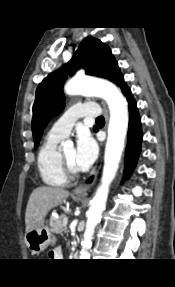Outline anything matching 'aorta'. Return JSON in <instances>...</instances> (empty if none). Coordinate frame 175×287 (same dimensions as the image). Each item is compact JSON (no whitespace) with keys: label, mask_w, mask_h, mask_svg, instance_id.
Wrapping results in <instances>:
<instances>
[{"label":"aorta","mask_w":175,"mask_h":287,"mask_svg":"<svg viewBox=\"0 0 175 287\" xmlns=\"http://www.w3.org/2000/svg\"><path fill=\"white\" fill-rule=\"evenodd\" d=\"M65 92L69 95L81 93L97 95L107 102L110 111L101 184L91 201V206L87 213V224L80 252V259H90L88 250L92 244L94 230L101 220L109 186L115 178L124 149L129 120L128 107L121 91L114 84L107 81L74 78L66 84ZM63 145H72V142L66 141Z\"/></svg>","instance_id":"aorta-1"}]
</instances>
